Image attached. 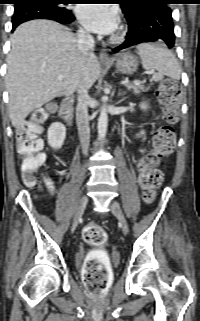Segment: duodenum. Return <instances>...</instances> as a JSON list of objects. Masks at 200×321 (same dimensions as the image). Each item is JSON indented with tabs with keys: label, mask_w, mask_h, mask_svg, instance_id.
<instances>
[{
	"label": "duodenum",
	"mask_w": 200,
	"mask_h": 321,
	"mask_svg": "<svg viewBox=\"0 0 200 321\" xmlns=\"http://www.w3.org/2000/svg\"><path fill=\"white\" fill-rule=\"evenodd\" d=\"M72 103H73V98L71 96L65 97L60 103V108H59L60 116L67 123L71 121Z\"/></svg>",
	"instance_id": "duodenum-1"
}]
</instances>
